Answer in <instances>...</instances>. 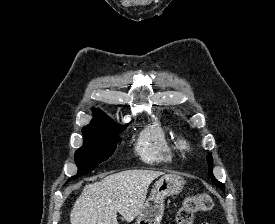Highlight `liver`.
<instances>
[{"mask_svg":"<svg viewBox=\"0 0 275 224\" xmlns=\"http://www.w3.org/2000/svg\"><path fill=\"white\" fill-rule=\"evenodd\" d=\"M161 171L127 170L87 184L70 213L71 224H118L119 212L130 223L144 207L149 185Z\"/></svg>","mask_w":275,"mask_h":224,"instance_id":"1","label":"liver"}]
</instances>
